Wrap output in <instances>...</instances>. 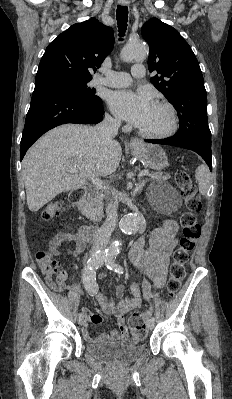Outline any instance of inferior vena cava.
Returning <instances> with one entry per match:
<instances>
[{
    "label": "inferior vena cava",
    "mask_w": 232,
    "mask_h": 399,
    "mask_svg": "<svg viewBox=\"0 0 232 399\" xmlns=\"http://www.w3.org/2000/svg\"><path fill=\"white\" fill-rule=\"evenodd\" d=\"M121 126V120H114L111 116H105L103 122L97 126V132L100 134L103 142L105 144H112L113 138L117 136L118 128ZM117 201L110 200L107 203L106 213L107 217L100 229V233L94 242L93 246L90 248V255L96 250L106 248V245L110 239V235L117 223Z\"/></svg>",
    "instance_id": "inferior-vena-cava-1"
}]
</instances>
